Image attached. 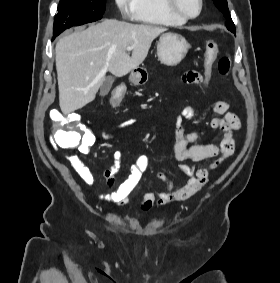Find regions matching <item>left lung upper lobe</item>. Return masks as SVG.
Returning <instances> with one entry per match:
<instances>
[{
    "instance_id": "obj_1",
    "label": "left lung upper lobe",
    "mask_w": 280,
    "mask_h": 283,
    "mask_svg": "<svg viewBox=\"0 0 280 283\" xmlns=\"http://www.w3.org/2000/svg\"><path fill=\"white\" fill-rule=\"evenodd\" d=\"M216 7L223 13L224 17L227 19L226 21V27L231 32L235 33V25L231 19L228 6H227V0H213Z\"/></svg>"
}]
</instances>
